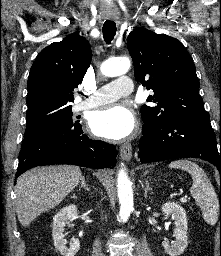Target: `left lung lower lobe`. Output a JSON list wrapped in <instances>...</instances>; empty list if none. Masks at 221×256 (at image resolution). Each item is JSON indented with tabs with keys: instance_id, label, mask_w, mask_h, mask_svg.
Instances as JSON below:
<instances>
[{
	"instance_id": "obj_1",
	"label": "left lung lower lobe",
	"mask_w": 221,
	"mask_h": 256,
	"mask_svg": "<svg viewBox=\"0 0 221 256\" xmlns=\"http://www.w3.org/2000/svg\"><path fill=\"white\" fill-rule=\"evenodd\" d=\"M139 142L141 163L177 158H201L214 164L221 175V150L217 149L209 115L181 117L161 126L144 124Z\"/></svg>"
}]
</instances>
